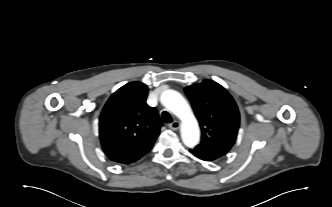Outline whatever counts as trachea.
<instances>
[{
	"instance_id": "3493384b",
	"label": "trachea",
	"mask_w": 332,
	"mask_h": 207,
	"mask_svg": "<svg viewBox=\"0 0 332 207\" xmlns=\"http://www.w3.org/2000/svg\"><path fill=\"white\" fill-rule=\"evenodd\" d=\"M162 120L165 123H171L172 122V117L167 111L162 112Z\"/></svg>"
}]
</instances>
